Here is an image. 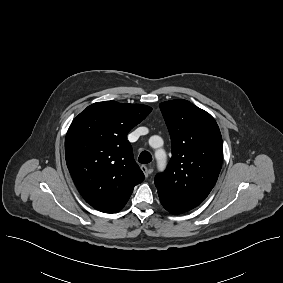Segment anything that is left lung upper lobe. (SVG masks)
Returning <instances> with one entry per match:
<instances>
[{"label":"left lung upper lobe","mask_w":283,"mask_h":283,"mask_svg":"<svg viewBox=\"0 0 283 283\" xmlns=\"http://www.w3.org/2000/svg\"><path fill=\"white\" fill-rule=\"evenodd\" d=\"M159 107L171 136L172 157L155 185L169 208L184 213L202 203L214 187L222 166V137L214 118L187 100Z\"/></svg>","instance_id":"5c2ea615"}]
</instances>
